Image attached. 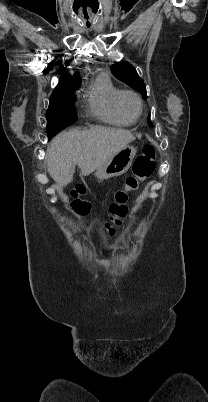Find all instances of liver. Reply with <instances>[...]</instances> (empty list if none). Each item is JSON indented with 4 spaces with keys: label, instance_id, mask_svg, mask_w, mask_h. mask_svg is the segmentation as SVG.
<instances>
[{
    "label": "liver",
    "instance_id": "6515ba94",
    "mask_svg": "<svg viewBox=\"0 0 208 402\" xmlns=\"http://www.w3.org/2000/svg\"><path fill=\"white\" fill-rule=\"evenodd\" d=\"M128 130L95 126L90 130H69L52 140L47 150V172L56 184L65 188L79 166L82 176H89L101 168L111 156L133 142Z\"/></svg>",
    "mask_w": 208,
    "mask_h": 402
}]
</instances>
